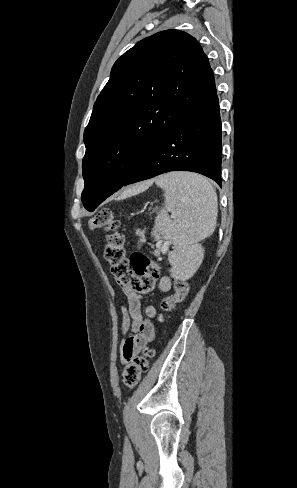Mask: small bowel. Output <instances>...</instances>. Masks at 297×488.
<instances>
[{
	"label": "small bowel",
	"instance_id": "c3829d8e",
	"mask_svg": "<svg viewBox=\"0 0 297 488\" xmlns=\"http://www.w3.org/2000/svg\"><path fill=\"white\" fill-rule=\"evenodd\" d=\"M126 298V305L121 306V333L124 337L121 348L122 361L129 363L154 337L153 320L156 316V307L145 304L141 292L118 282ZM162 294L171 291V278L164 275L157 284Z\"/></svg>",
	"mask_w": 297,
	"mask_h": 488
}]
</instances>
